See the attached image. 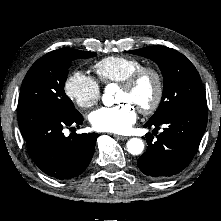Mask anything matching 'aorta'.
I'll return each mask as SVG.
<instances>
[{"label":"aorta","mask_w":221,"mask_h":221,"mask_svg":"<svg viewBox=\"0 0 221 221\" xmlns=\"http://www.w3.org/2000/svg\"><path fill=\"white\" fill-rule=\"evenodd\" d=\"M117 91L115 84H108L105 87V92L102 96V102L105 106H112L114 104L113 94ZM127 150L132 155H139L144 150V143L139 138H131L127 142Z\"/></svg>","instance_id":"1"}]
</instances>
